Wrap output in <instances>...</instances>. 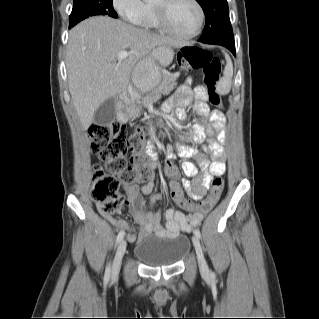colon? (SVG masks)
Segmentation results:
<instances>
[{
	"label": "colon",
	"mask_w": 319,
	"mask_h": 319,
	"mask_svg": "<svg viewBox=\"0 0 319 319\" xmlns=\"http://www.w3.org/2000/svg\"><path fill=\"white\" fill-rule=\"evenodd\" d=\"M178 65L183 69L203 71V85L207 100L215 106H221L220 95L216 85L221 75V62L208 50L196 46H185L178 54ZM91 149L97 152L106 167L96 165L93 168L92 198L101 204L103 212L109 215L122 213L127 201L119 191L120 182L131 184L137 179H146L151 169L144 154L147 145L146 128L138 126L131 136H127L125 127L119 122L95 124L89 128ZM224 187L221 176L211 182L209 197L197 205V210L206 214L213 209ZM172 199L185 208L195 205L187 201L177 189L171 190Z\"/></svg>",
	"instance_id": "colon-1"
}]
</instances>
